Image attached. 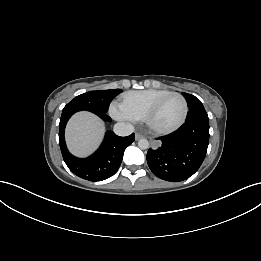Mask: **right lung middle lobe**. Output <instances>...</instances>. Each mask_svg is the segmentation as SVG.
Segmentation results:
<instances>
[{"instance_id": "right-lung-middle-lobe-1", "label": "right lung middle lobe", "mask_w": 261, "mask_h": 261, "mask_svg": "<svg viewBox=\"0 0 261 261\" xmlns=\"http://www.w3.org/2000/svg\"><path fill=\"white\" fill-rule=\"evenodd\" d=\"M121 91V89L90 91L76 96L63 110L77 109L93 113H106L112 99Z\"/></svg>"}]
</instances>
